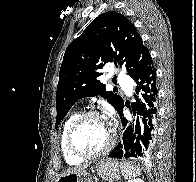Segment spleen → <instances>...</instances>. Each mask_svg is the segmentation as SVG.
I'll return each instance as SVG.
<instances>
[{"mask_svg":"<svg viewBox=\"0 0 196 182\" xmlns=\"http://www.w3.org/2000/svg\"><path fill=\"white\" fill-rule=\"evenodd\" d=\"M120 170L124 178L128 179L140 175V169L131 163L121 162Z\"/></svg>","mask_w":196,"mask_h":182,"instance_id":"3e777b00","label":"spleen"}]
</instances>
